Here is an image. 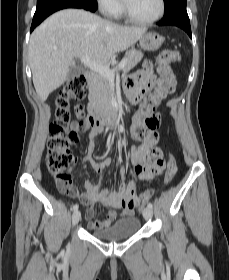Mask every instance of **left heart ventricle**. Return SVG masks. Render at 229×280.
I'll list each match as a JSON object with an SVG mask.
<instances>
[{
	"instance_id": "b2bd125f",
	"label": "left heart ventricle",
	"mask_w": 229,
	"mask_h": 280,
	"mask_svg": "<svg viewBox=\"0 0 229 280\" xmlns=\"http://www.w3.org/2000/svg\"><path fill=\"white\" fill-rule=\"evenodd\" d=\"M129 12L140 19H148L157 14L159 0H125Z\"/></svg>"
}]
</instances>
